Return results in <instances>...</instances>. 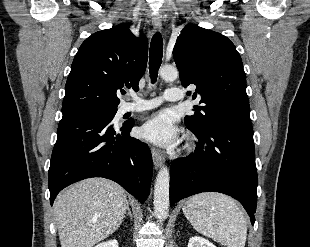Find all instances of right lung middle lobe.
I'll list each match as a JSON object with an SVG mask.
<instances>
[{
  "mask_svg": "<svg viewBox=\"0 0 310 247\" xmlns=\"http://www.w3.org/2000/svg\"><path fill=\"white\" fill-rule=\"evenodd\" d=\"M116 109H101L94 107H80L74 108L67 111H62V118L82 117V116H110L114 117Z\"/></svg>",
  "mask_w": 310,
  "mask_h": 247,
  "instance_id": "right-lung-middle-lobe-1",
  "label": "right lung middle lobe"
}]
</instances>
